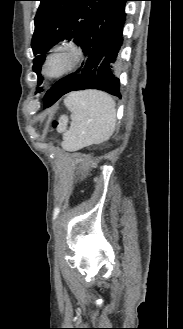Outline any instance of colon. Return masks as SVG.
Masks as SVG:
<instances>
[{"label": "colon", "instance_id": "colon-1", "mask_svg": "<svg viewBox=\"0 0 183 329\" xmlns=\"http://www.w3.org/2000/svg\"><path fill=\"white\" fill-rule=\"evenodd\" d=\"M67 123H68V117L67 115L63 114L53 121V128L57 132H63L67 126Z\"/></svg>", "mask_w": 183, "mask_h": 329}]
</instances>
